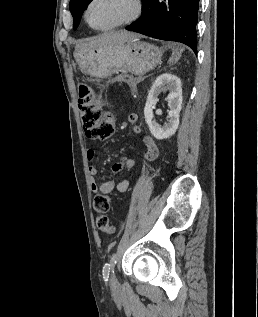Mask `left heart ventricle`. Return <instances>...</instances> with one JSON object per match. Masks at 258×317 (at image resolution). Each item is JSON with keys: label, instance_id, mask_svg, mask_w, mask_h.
I'll list each match as a JSON object with an SVG mask.
<instances>
[{"label": "left heart ventricle", "instance_id": "1", "mask_svg": "<svg viewBox=\"0 0 258 317\" xmlns=\"http://www.w3.org/2000/svg\"><path fill=\"white\" fill-rule=\"evenodd\" d=\"M132 11V4L126 1L95 0L89 9V20L96 26H109L126 19Z\"/></svg>", "mask_w": 258, "mask_h": 317}]
</instances>
